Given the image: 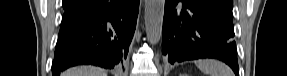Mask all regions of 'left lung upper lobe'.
I'll list each match as a JSON object with an SVG mask.
<instances>
[{
    "instance_id": "obj_1",
    "label": "left lung upper lobe",
    "mask_w": 287,
    "mask_h": 76,
    "mask_svg": "<svg viewBox=\"0 0 287 76\" xmlns=\"http://www.w3.org/2000/svg\"><path fill=\"white\" fill-rule=\"evenodd\" d=\"M197 2L207 4L212 9L232 19V0H195Z\"/></svg>"
}]
</instances>
